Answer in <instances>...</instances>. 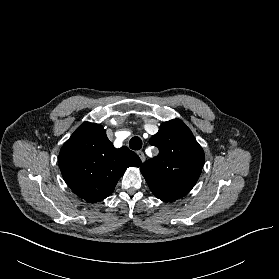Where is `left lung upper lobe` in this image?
I'll return each mask as SVG.
<instances>
[{
    "mask_svg": "<svg viewBox=\"0 0 279 279\" xmlns=\"http://www.w3.org/2000/svg\"><path fill=\"white\" fill-rule=\"evenodd\" d=\"M150 144L159 149V154L140 170L154 195L172 202L188 194L205 161L203 149L190 129L180 119L164 122Z\"/></svg>",
    "mask_w": 279,
    "mask_h": 279,
    "instance_id": "5c2ea615",
    "label": "left lung upper lobe"
}]
</instances>
